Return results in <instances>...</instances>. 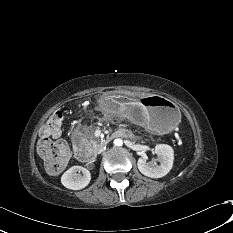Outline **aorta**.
Instances as JSON below:
<instances>
[{
    "mask_svg": "<svg viewBox=\"0 0 233 233\" xmlns=\"http://www.w3.org/2000/svg\"><path fill=\"white\" fill-rule=\"evenodd\" d=\"M113 143H114L115 146L120 147V146L123 145V140L120 139V138H117V139L114 140Z\"/></svg>",
    "mask_w": 233,
    "mask_h": 233,
    "instance_id": "aorta-1",
    "label": "aorta"
}]
</instances>
